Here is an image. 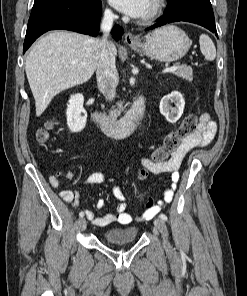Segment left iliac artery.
<instances>
[{
  "mask_svg": "<svg viewBox=\"0 0 247 296\" xmlns=\"http://www.w3.org/2000/svg\"><path fill=\"white\" fill-rule=\"evenodd\" d=\"M159 217H160L162 220L167 221V216H166L165 214L161 213V214L159 215Z\"/></svg>",
  "mask_w": 247,
  "mask_h": 296,
  "instance_id": "obj_1",
  "label": "left iliac artery"
}]
</instances>
